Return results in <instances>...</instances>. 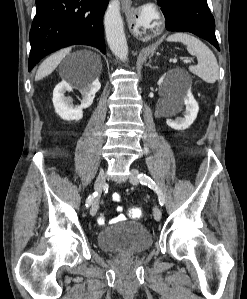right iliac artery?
<instances>
[{
  "mask_svg": "<svg viewBox=\"0 0 247 299\" xmlns=\"http://www.w3.org/2000/svg\"><path fill=\"white\" fill-rule=\"evenodd\" d=\"M97 195H98L97 192H94V193H92L91 195H89V197H88L87 200H86V207H87V208L92 204L93 199H94Z\"/></svg>",
  "mask_w": 247,
  "mask_h": 299,
  "instance_id": "right-iliac-artery-1",
  "label": "right iliac artery"
}]
</instances>
